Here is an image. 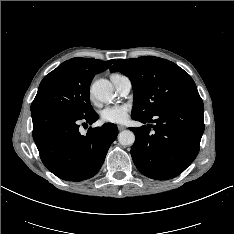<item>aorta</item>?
I'll return each instance as SVG.
<instances>
[{
    "label": "aorta",
    "instance_id": "1",
    "mask_svg": "<svg viewBox=\"0 0 234 234\" xmlns=\"http://www.w3.org/2000/svg\"><path fill=\"white\" fill-rule=\"evenodd\" d=\"M92 95L101 102L107 103L113 100L114 90L110 81L99 79L91 86ZM118 141L123 146H131L135 141V135L130 130H124L119 133Z\"/></svg>",
    "mask_w": 234,
    "mask_h": 234
}]
</instances>
